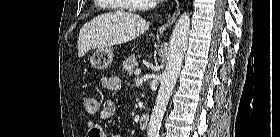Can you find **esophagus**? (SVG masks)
<instances>
[{
    "instance_id": "34e87169",
    "label": "esophagus",
    "mask_w": 280,
    "mask_h": 137,
    "mask_svg": "<svg viewBox=\"0 0 280 137\" xmlns=\"http://www.w3.org/2000/svg\"><path fill=\"white\" fill-rule=\"evenodd\" d=\"M180 12V8H179V3H176V9L173 13V15L171 16V18L168 19V21L161 25L160 27H158L157 31L162 33L163 31H165L168 27H170L171 25H173V23L175 22L177 16L179 15Z\"/></svg>"
}]
</instances>
